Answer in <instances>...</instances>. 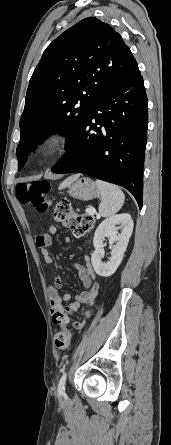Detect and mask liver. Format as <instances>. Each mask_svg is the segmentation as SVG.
<instances>
[{"label": "liver", "mask_w": 171, "mask_h": 445, "mask_svg": "<svg viewBox=\"0 0 171 445\" xmlns=\"http://www.w3.org/2000/svg\"><path fill=\"white\" fill-rule=\"evenodd\" d=\"M77 177H78V176H73V177L68 178L66 181H64V182L62 183L61 186H62V187H66V186L70 185L74 180L77 179Z\"/></svg>", "instance_id": "obj_1"}]
</instances>
